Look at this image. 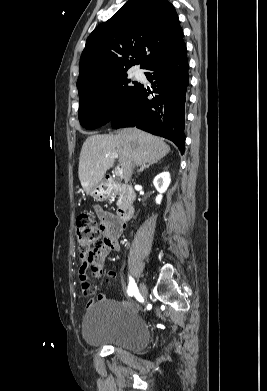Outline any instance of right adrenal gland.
I'll return each instance as SVG.
<instances>
[{
    "label": "right adrenal gland",
    "instance_id": "2a0ac1e0",
    "mask_svg": "<svg viewBox=\"0 0 267 391\" xmlns=\"http://www.w3.org/2000/svg\"><path fill=\"white\" fill-rule=\"evenodd\" d=\"M154 163H156V162H151V163H148V164H144V165L141 166V168L138 170V173L143 172L146 168H149V167L152 166Z\"/></svg>",
    "mask_w": 267,
    "mask_h": 391
}]
</instances>
